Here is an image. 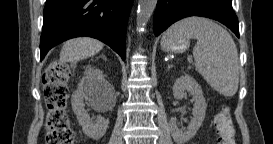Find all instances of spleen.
<instances>
[{
    "label": "spleen",
    "instance_id": "obj_1",
    "mask_svg": "<svg viewBox=\"0 0 273 144\" xmlns=\"http://www.w3.org/2000/svg\"><path fill=\"white\" fill-rule=\"evenodd\" d=\"M176 38L196 39L193 48L196 70L220 94L235 95L239 85L238 51L224 28L207 18L188 17L172 25L161 42Z\"/></svg>",
    "mask_w": 273,
    "mask_h": 144
}]
</instances>
